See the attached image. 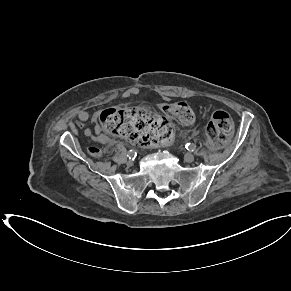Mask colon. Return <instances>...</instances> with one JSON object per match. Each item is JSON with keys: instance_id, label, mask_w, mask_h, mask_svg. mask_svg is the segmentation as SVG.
Segmentation results:
<instances>
[{"instance_id": "5ec220e1", "label": "colon", "mask_w": 291, "mask_h": 291, "mask_svg": "<svg viewBox=\"0 0 291 291\" xmlns=\"http://www.w3.org/2000/svg\"><path fill=\"white\" fill-rule=\"evenodd\" d=\"M164 112L172 120L184 125L192 124L195 113L184 102H173L164 106ZM100 126L110 134L127 138L141 146H153L168 140L173 127L166 117L141 108H108L99 116ZM234 129L231 116L222 110H216L208 123L206 136L208 144L219 149L230 139ZM89 153L98 156L100 150Z\"/></svg>"}]
</instances>
